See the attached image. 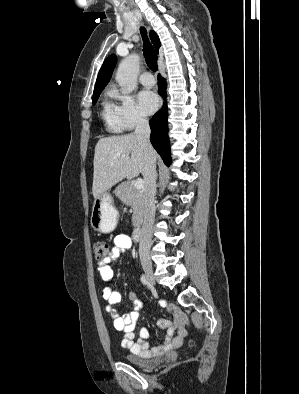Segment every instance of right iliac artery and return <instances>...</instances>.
Masks as SVG:
<instances>
[{
    "label": "right iliac artery",
    "instance_id": "right-iliac-artery-1",
    "mask_svg": "<svg viewBox=\"0 0 299 394\" xmlns=\"http://www.w3.org/2000/svg\"><path fill=\"white\" fill-rule=\"evenodd\" d=\"M141 282H142L144 285H147V283H148L147 277H146L144 274L141 276Z\"/></svg>",
    "mask_w": 299,
    "mask_h": 394
}]
</instances>
